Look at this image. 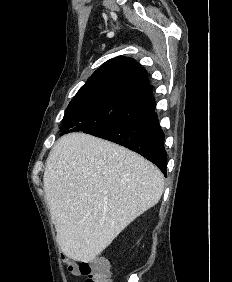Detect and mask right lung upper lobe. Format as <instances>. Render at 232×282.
Returning <instances> with one entry per match:
<instances>
[{"instance_id": "1", "label": "right lung upper lobe", "mask_w": 232, "mask_h": 282, "mask_svg": "<svg viewBox=\"0 0 232 282\" xmlns=\"http://www.w3.org/2000/svg\"><path fill=\"white\" fill-rule=\"evenodd\" d=\"M152 88L144 68L132 58L119 56L99 67L75 96L108 90H131L148 95L155 103Z\"/></svg>"}]
</instances>
